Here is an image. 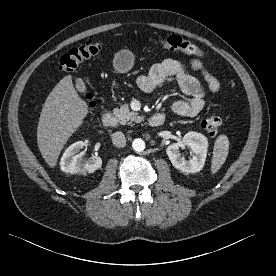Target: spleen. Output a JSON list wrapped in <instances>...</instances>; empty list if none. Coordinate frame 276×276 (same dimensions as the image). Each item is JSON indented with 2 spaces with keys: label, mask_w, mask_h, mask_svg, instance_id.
Here are the masks:
<instances>
[{
  "label": "spleen",
  "mask_w": 276,
  "mask_h": 276,
  "mask_svg": "<svg viewBox=\"0 0 276 276\" xmlns=\"http://www.w3.org/2000/svg\"><path fill=\"white\" fill-rule=\"evenodd\" d=\"M229 140L226 135H219L214 143L211 172L215 174L224 164L228 156Z\"/></svg>",
  "instance_id": "obj_1"
}]
</instances>
